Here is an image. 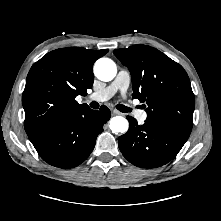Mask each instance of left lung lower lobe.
<instances>
[{"label":"left lung lower lobe","instance_id":"left-lung-lower-lobe-1","mask_svg":"<svg viewBox=\"0 0 221 221\" xmlns=\"http://www.w3.org/2000/svg\"><path fill=\"white\" fill-rule=\"evenodd\" d=\"M130 127L118 139L123 156L141 168L160 167L172 160L187 141V135L145 120L138 125L127 116Z\"/></svg>","mask_w":221,"mask_h":221}]
</instances>
